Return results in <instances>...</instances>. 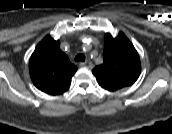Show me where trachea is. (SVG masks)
I'll use <instances>...</instances> for the list:
<instances>
[{"label": "trachea", "instance_id": "3493384b", "mask_svg": "<svg viewBox=\"0 0 172 134\" xmlns=\"http://www.w3.org/2000/svg\"><path fill=\"white\" fill-rule=\"evenodd\" d=\"M75 61H82V62H84V61H85V55L82 54V53L77 54V55L75 56Z\"/></svg>", "mask_w": 172, "mask_h": 134}]
</instances>
